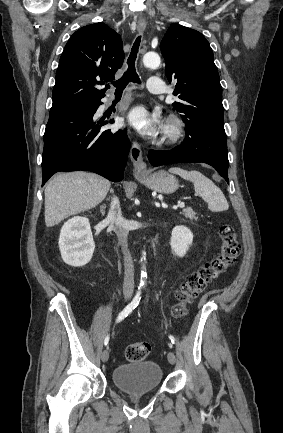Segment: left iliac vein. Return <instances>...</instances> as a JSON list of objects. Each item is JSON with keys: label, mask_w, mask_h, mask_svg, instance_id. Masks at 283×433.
Instances as JSON below:
<instances>
[{"label": "left iliac vein", "mask_w": 283, "mask_h": 433, "mask_svg": "<svg viewBox=\"0 0 283 433\" xmlns=\"http://www.w3.org/2000/svg\"><path fill=\"white\" fill-rule=\"evenodd\" d=\"M167 358L170 364H174L176 361V356L172 351L168 352Z\"/></svg>", "instance_id": "obj_1"}]
</instances>
